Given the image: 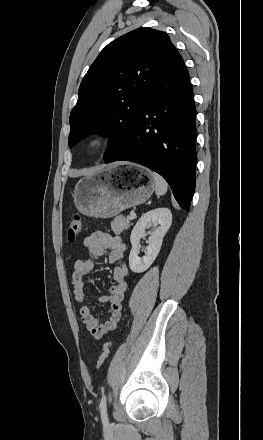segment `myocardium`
Here are the masks:
<instances>
[{
	"instance_id": "f54148a6",
	"label": "myocardium",
	"mask_w": 263,
	"mask_h": 440,
	"mask_svg": "<svg viewBox=\"0 0 263 440\" xmlns=\"http://www.w3.org/2000/svg\"><path fill=\"white\" fill-rule=\"evenodd\" d=\"M109 139L102 133H93L85 138L83 152L87 158L100 156L108 147Z\"/></svg>"
}]
</instances>
